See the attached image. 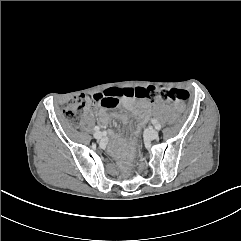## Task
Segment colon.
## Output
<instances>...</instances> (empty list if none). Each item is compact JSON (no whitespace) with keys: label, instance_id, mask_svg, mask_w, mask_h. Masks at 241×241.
<instances>
[{"label":"colon","instance_id":"colon-1","mask_svg":"<svg viewBox=\"0 0 241 241\" xmlns=\"http://www.w3.org/2000/svg\"><path fill=\"white\" fill-rule=\"evenodd\" d=\"M125 97H137L149 100L161 99L165 101L184 102L188 99L189 94L185 90L175 88H165L158 86L136 87V88H121L108 87L100 88L98 94L92 96L80 95L69 101L63 109L65 119L72 125L78 123L79 113L88 107L95 105H103L112 107L120 99ZM179 121L178 114H171L168 117V125L174 126Z\"/></svg>","mask_w":241,"mask_h":241}]
</instances>
